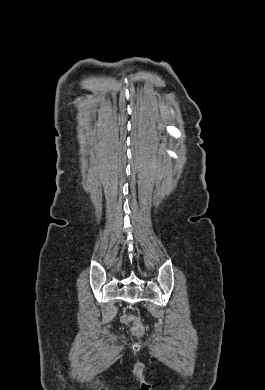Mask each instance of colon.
I'll return each mask as SVG.
<instances>
[{
  "label": "colon",
  "instance_id": "obj_1",
  "mask_svg": "<svg viewBox=\"0 0 265 390\" xmlns=\"http://www.w3.org/2000/svg\"><path fill=\"white\" fill-rule=\"evenodd\" d=\"M123 322L126 324L132 323L131 332L134 336L140 337L144 334V327L138 318L132 315H125L123 317Z\"/></svg>",
  "mask_w": 265,
  "mask_h": 390
}]
</instances>
